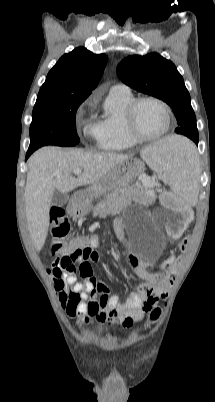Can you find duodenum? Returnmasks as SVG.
Listing matches in <instances>:
<instances>
[{
  "label": "duodenum",
  "instance_id": "obj_1",
  "mask_svg": "<svg viewBox=\"0 0 215 402\" xmlns=\"http://www.w3.org/2000/svg\"><path fill=\"white\" fill-rule=\"evenodd\" d=\"M69 211L72 215H79L81 213L80 208L76 203H72L69 207Z\"/></svg>",
  "mask_w": 215,
  "mask_h": 402
}]
</instances>
